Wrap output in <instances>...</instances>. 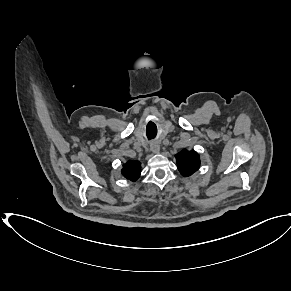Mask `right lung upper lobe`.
<instances>
[{"mask_svg": "<svg viewBox=\"0 0 291 291\" xmlns=\"http://www.w3.org/2000/svg\"><path fill=\"white\" fill-rule=\"evenodd\" d=\"M122 174L124 177L131 181H136L141 173V167L139 161H128L123 165Z\"/></svg>", "mask_w": 291, "mask_h": 291, "instance_id": "right-lung-upper-lobe-1", "label": "right lung upper lobe"}]
</instances>
